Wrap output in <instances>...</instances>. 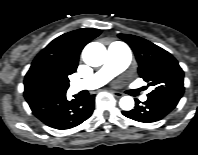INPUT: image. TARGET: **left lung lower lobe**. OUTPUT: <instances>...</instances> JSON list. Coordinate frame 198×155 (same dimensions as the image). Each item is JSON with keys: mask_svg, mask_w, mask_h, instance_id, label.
I'll list each match as a JSON object with an SVG mask.
<instances>
[{"mask_svg": "<svg viewBox=\"0 0 198 155\" xmlns=\"http://www.w3.org/2000/svg\"><path fill=\"white\" fill-rule=\"evenodd\" d=\"M179 99L170 97L149 98L139 105L136 100V106L131 111H123L122 114L132 120L151 123L161 120L171 112L178 104Z\"/></svg>", "mask_w": 198, "mask_h": 155, "instance_id": "0a47b994", "label": "left lung lower lobe"}]
</instances>
